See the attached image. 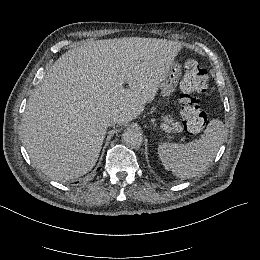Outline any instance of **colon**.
Returning <instances> with one entry per match:
<instances>
[{
	"label": "colon",
	"instance_id": "obj_1",
	"mask_svg": "<svg viewBox=\"0 0 260 260\" xmlns=\"http://www.w3.org/2000/svg\"><path fill=\"white\" fill-rule=\"evenodd\" d=\"M209 74L196 59H188L180 82L181 120L186 130L194 132L209 122L203 109L204 95L207 92Z\"/></svg>",
	"mask_w": 260,
	"mask_h": 260
}]
</instances>
